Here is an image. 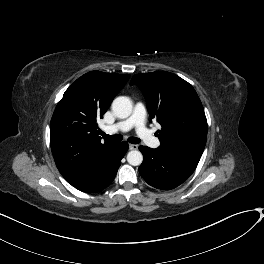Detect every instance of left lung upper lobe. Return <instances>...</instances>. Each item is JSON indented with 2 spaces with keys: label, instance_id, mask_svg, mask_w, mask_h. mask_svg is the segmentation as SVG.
<instances>
[{
  "label": "left lung upper lobe",
  "instance_id": "left-lung-upper-lobe-1",
  "mask_svg": "<svg viewBox=\"0 0 264 264\" xmlns=\"http://www.w3.org/2000/svg\"><path fill=\"white\" fill-rule=\"evenodd\" d=\"M130 84L141 89L150 117L162 126L157 132V149L199 161L207 139V120L192 85L170 72L136 74Z\"/></svg>",
  "mask_w": 264,
  "mask_h": 264
}]
</instances>
